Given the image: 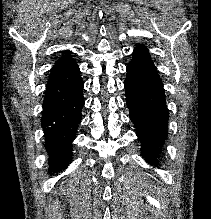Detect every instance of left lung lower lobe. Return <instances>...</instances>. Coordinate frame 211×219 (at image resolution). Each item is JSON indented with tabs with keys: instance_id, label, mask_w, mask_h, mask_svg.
Returning <instances> with one entry per match:
<instances>
[{
	"instance_id": "1",
	"label": "left lung lower lobe",
	"mask_w": 211,
	"mask_h": 219,
	"mask_svg": "<svg viewBox=\"0 0 211 219\" xmlns=\"http://www.w3.org/2000/svg\"><path fill=\"white\" fill-rule=\"evenodd\" d=\"M127 66L125 80L129 116L136 127L145 160L157 165V158L167 137L168 109L163 84L148 50L138 45Z\"/></svg>"
}]
</instances>
